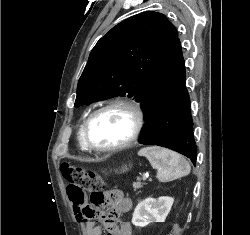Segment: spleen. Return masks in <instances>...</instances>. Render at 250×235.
Returning <instances> with one entry per match:
<instances>
[{"instance_id": "3e777b00", "label": "spleen", "mask_w": 250, "mask_h": 235, "mask_svg": "<svg viewBox=\"0 0 250 235\" xmlns=\"http://www.w3.org/2000/svg\"><path fill=\"white\" fill-rule=\"evenodd\" d=\"M138 155L145 156L151 166L157 169V179L161 182L186 176L191 170L190 164L183 156L166 148L150 146L142 148Z\"/></svg>"}]
</instances>
